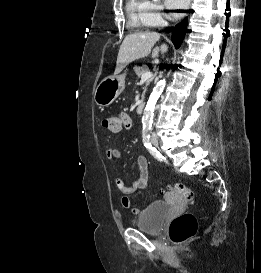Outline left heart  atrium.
Segmentation results:
<instances>
[{
    "instance_id": "39dd6f15",
    "label": "left heart atrium",
    "mask_w": 261,
    "mask_h": 273,
    "mask_svg": "<svg viewBox=\"0 0 261 273\" xmlns=\"http://www.w3.org/2000/svg\"><path fill=\"white\" fill-rule=\"evenodd\" d=\"M165 3L169 9L174 10V15L178 16L188 6L189 0H165Z\"/></svg>"
}]
</instances>
